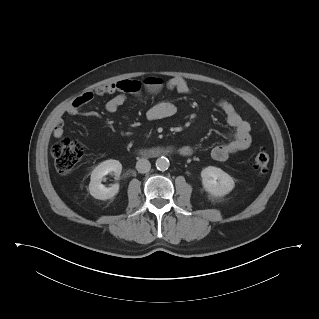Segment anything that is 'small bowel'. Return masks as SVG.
<instances>
[{
    "label": "small bowel",
    "instance_id": "obj_1",
    "mask_svg": "<svg viewBox=\"0 0 319 319\" xmlns=\"http://www.w3.org/2000/svg\"><path fill=\"white\" fill-rule=\"evenodd\" d=\"M129 80H121L96 88L93 91H85L74 98L66 107L65 112L71 116L86 115L98 116L94 112H83V108L89 104L95 95H113L105 105L109 113H115L128 100L126 86ZM167 89L177 91L180 94H191L192 88L182 77H173L167 82ZM218 108L224 114L227 124L233 129L232 139L224 144L215 146L211 150V156L216 161H226L237 152L248 149L252 144L251 126L237 112L235 107L227 100H220ZM176 113V106L167 100H161L151 105L146 110V118L150 121H158L169 118ZM64 127L59 123L53 129V136L61 138L64 135ZM180 153L190 155L192 148L182 146Z\"/></svg>",
    "mask_w": 319,
    "mask_h": 319
}]
</instances>
